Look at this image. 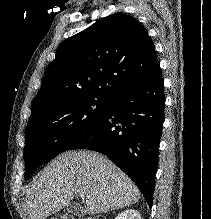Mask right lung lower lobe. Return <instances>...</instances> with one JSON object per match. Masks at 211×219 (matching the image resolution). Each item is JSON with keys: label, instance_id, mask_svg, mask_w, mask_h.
<instances>
[{"label": "right lung lower lobe", "instance_id": "98d812e1", "mask_svg": "<svg viewBox=\"0 0 211 219\" xmlns=\"http://www.w3.org/2000/svg\"><path fill=\"white\" fill-rule=\"evenodd\" d=\"M164 107L158 63L147 77L113 97L102 119L68 150L89 149L106 155L128 174L151 208Z\"/></svg>", "mask_w": 211, "mask_h": 219}]
</instances>
